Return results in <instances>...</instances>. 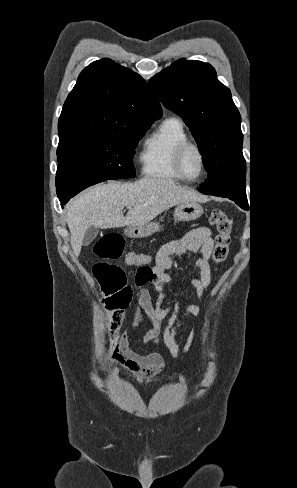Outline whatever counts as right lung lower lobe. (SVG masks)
<instances>
[{"label": "right lung lower lobe", "mask_w": 297, "mask_h": 488, "mask_svg": "<svg viewBox=\"0 0 297 488\" xmlns=\"http://www.w3.org/2000/svg\"><path fill=\"white\" fill-rule=\"evenodd\" d=\"M61 202V205L65 204L67 201L66 200H62L60 201Z\"/></svg>", "instance_id": "obj_1"}]
</instances>
